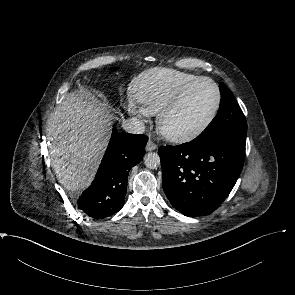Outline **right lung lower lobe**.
<instances>
[{
	"label": "right lung lower lobe",
	"mask_w": 295,
	"mask_h": 295,
	"mask_svg": "<svg viewBox=\"0 0 295 295\" xmlns=\"http://www.w3.org/2000/svg\"><path fill=\"white\" fill-rule=\"evenodd\" d=\"M147 141L145 135L117 134L114 128L95 180L79 197L78 207L95 219L118 212L124 205L129 170L142 160Z\"/></svg>",
	"instance_id": "1"
}]
</instances>
